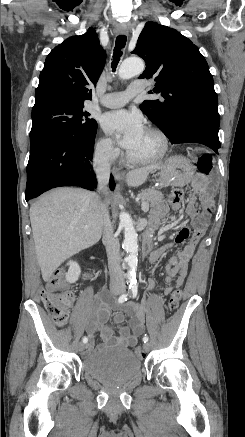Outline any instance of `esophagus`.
<instances>
[{"instance_id": "34e87169", "label": "esophagus", "mask_w": 245, "mask_h": 437, "mask_svg": "<svg viewBox=\"0 0 245 437\" xmlns=\"http://www.w3.org/2000/svg\"><path fill=\"white\" fill-rule=\"evenodd\" d=\"M115 32H116L117 34H119V35H128V30H127V28H126L124 25H118V26L116 27ZM114 177H115L116 179H120V178H121V174L115 172V173H114Z\"/></svg>"}]
</instances>
